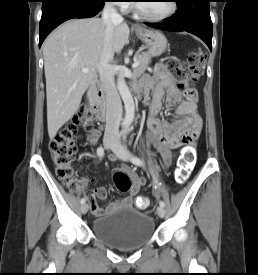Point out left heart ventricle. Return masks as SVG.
<instances>
[{
	"label": "left heart ventricle",
	"mask_w": 258,
	"mask_h": 275,
	"mask_svg": "<svg viewBox=\"0 0 258 275\" xmlns=\"http://www.w3.org/2000/svg\"><path fill=\"white\" fill-rule=\"evenodd\" d=\"M148 3H139L142 9L152 16H161L166 14L170 8L171 3L167 0L162 1H144Z\"/></svg>",
	"instance_id": "1"
}]
</instances>
